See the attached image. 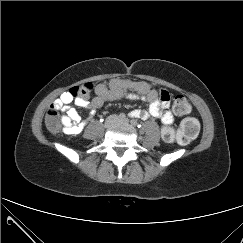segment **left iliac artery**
Segmentation results:
<instances>
[{
    "label": "left iliac artery",
    "mask_w": 243,
    "mask_h": 243,
    "mask_svg": "<svg viewBox=\"0 0 243 243\" xmlns=\"http://www.w3.org/2000/svg\"><path fill=\"white\" fill-rule=\"evenodd\" d=\"M131 124L134 125V126H138L140 127L141 125H138L137 121L136 120H131Z\"/></svg>",
    "instance_id": "obj_1"
}]
</instances>
